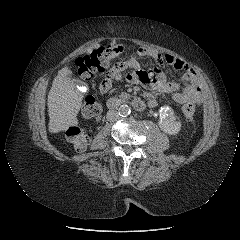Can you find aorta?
<instances>
[{"mask_svg":"<svg viewBox=\"0 0 240 240\" xmlns=\"http://www.w3.org/2000/svg\"><path fill=\"white\" fill-rule=\"evenodd\" d=\"M131 113V109L128 105H121L119 108H118V114L119 116L121 117H126L128 116L129 114Z\"/></svg>","mask_w":240,"mask_h":240,"instance_id":"1","label":"aorta"}]
</instances>
